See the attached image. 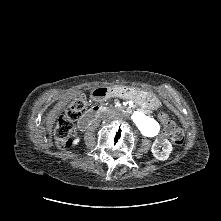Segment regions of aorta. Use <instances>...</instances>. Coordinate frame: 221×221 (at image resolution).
<instances>
[{"mask_svg":"<svg viewBox=\"0 0 221 221\" xmlns=\"http://www.w3.org/2000/svg\"><path fill=\"white\" fill-rule=\"evenodd\" d=\"M132 119L141 133L145 136H155L159 131V125L156 121L146 117L141 112L135 111L132 113Z\"/></svg>","mask_w":221,"mask_h":221,"instance_id":"obj_1","label":"aorta"}]
</instances>
